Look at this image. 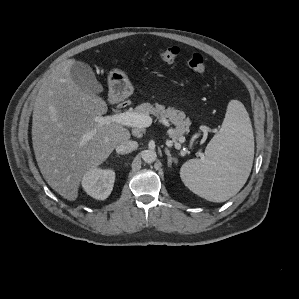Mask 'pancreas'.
<instances>
[{
	"label": "pancreas",
	"mask_w": 299,
	"mask_h": 299,
	"mask_svg": "<svg viewBox=\"0 0 299 299\" xmlns=\"http://www.w3.org/2000/svg\"><path fill=\"white\" fill-rule=\"evenodd\" d=\"M130 112L146 116L153 115L158 119L170 121L175 126V129L170 134L173 140H180L183 135L189 132L190 121L185 119V114L180 110L171 107L165 108L159 104L142 103Z\"/></svg>",
	"instance_id": "1"
}]
</instances>
